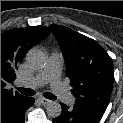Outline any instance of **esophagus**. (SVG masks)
Returning a JSON list of instances; mask_svg holds the SVG:
<instances>
[{"label": "esophagus", "instance_id": "34e87169", "mask_svg": "<svg viewBox=\"0 0 123 123\" xmlns=\"http://www.w3.org/2000/svg\"><path fill=\"white\" fill-rule=\"evenodd\" d=\"M42 104H49L51 101L50 100H48V99H46V98H44V97H40L39 99H38Z\"/></svg>", "mask_w": 123, "mask_h": 123}]
</instances>
